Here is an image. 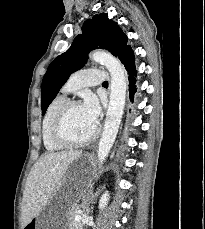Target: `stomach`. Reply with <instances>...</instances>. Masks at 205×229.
Instances as JSON below:
<instances>
[{
  "label": "stomach",
  "mask_w": 205,
  "mask_h": 229,
  "mask_svg": "<svg viewBox=\"0 0 205 229\" xmlns=\"http://www.w3.org/2000/svg\"><path fill=\"white\" fill-rule=\"evenodd\" d=\"M91 170V156L85 154L74 162L64 179V188L56 192L39 215L34 217L25 229H69L70 204L84 189Z\"/></svg>",
  "instance_id": "obj_1"
}]
</instances>
